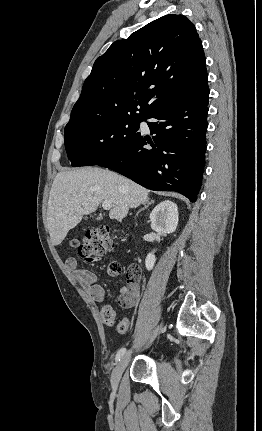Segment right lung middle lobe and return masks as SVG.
I'll return each instance as SVG.
<instances>
[{
  "mask_svg": "<svg viewBox=\"0 0 262 431\" xmlns=\"http://www.w3.org/2000/svg\"><path fill=\"white\" fill-rule=\"evenodd\" d=\"M145 118L121 116L65 127L64 140L73 167L97 165L123 149L139 132Z\"/></svg>",
  "mask_w": 262,
  "mask_h": 431,
  "instance_id": "1",
  "label": "right lung middle lobe"
}]
</instances>
